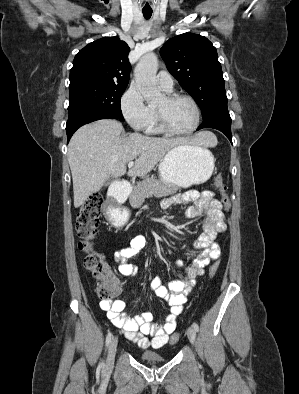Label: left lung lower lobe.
Returning a JSON list of instances; mask_svg holds the SVG:
<instances>
[{
  "instance_id": "1",
  "label": "left lung lower lobe",
  "mask_w": 299,
  "mask_h": 394,
  "mask_svg": "<svg viewBox=\"0 0 299 394\" xmlns=\"http://www.w3.org/2000/svg\"><path fill=\"white\" fill-rule=\"evenodd\" d=\"M214 128L224 133L232 143L231 118L229 112H219L204 120L197 128Z\"/></svg>"
}]
</instances>
